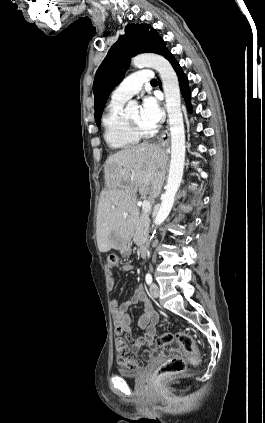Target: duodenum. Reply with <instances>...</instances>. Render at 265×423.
Listing matches in <instances>:
<instances>
[{
  "instance_id": "1",
  "label": "duodenum",
  "mask_w": 265,
  "mask_h": 423,
  "mask_svg": "<svg viewBox=\"0 0 265 423\" xmlns=\"http://www.w3.org/2000/svg\"><path fill=\"white\" fill-rule=\"evenodd\" d=\"M139 255L141 256V257H148V255H149V245L148 244H142V245H140V248H139Z\"/></svg>"
}]
</instances>
